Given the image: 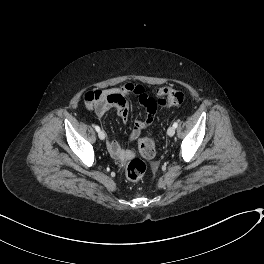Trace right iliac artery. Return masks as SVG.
Segmentation results:
<instances>
[{
    "mask_svg": "<svg viewBox=\"0 0 264 264\" xmlns=\"http://www.w3.org/2000/svg\"><path fill=\"white\" fill-rule=\"evenodd\" d=\"M94 128H95V130H96L97 132L100 131V127H99L98 125H95Z\"/></svg>",
    "mask_w": 264,
    "mask_h": 264,
    "instance_id": "right-iliac-artery-1",
    "label": "right iliac artery"
}]
</instances>
